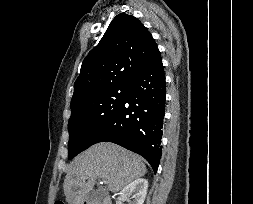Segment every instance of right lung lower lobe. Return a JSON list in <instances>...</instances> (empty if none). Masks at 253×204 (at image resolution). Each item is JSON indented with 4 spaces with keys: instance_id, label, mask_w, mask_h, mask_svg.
<instances>
[{
    "instance_id": "right-lung-lower-lobe-1",
    "label": "right lung lower lobe",
    "mask_w": 253,
    "mask_h": 204,
    "mask_svg": "<svg viewBox=\"0 0 253 204\" xmlns=\"http://www.w3.org/2000/svg\"><path fill=\"white\" fill-rule=\"evenodd\" d=\"M166 83L159 50L129 82L125 99L95 139L113 142L143 156L157 171L165 113Z\"/></svg>"
}]
</instances>
